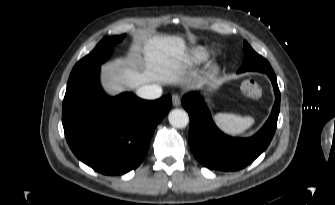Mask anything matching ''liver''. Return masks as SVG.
Returning a JSON list of instances; mask_svg holds the SVG:
<instances>
[{"instance_id":"liver-1","label":"liver","mask_w":335,"mask_h":205,"mask_svg":"<svg viewBox=\"0 0 335 205\" xmlns=\"http://www.w3.org/2000/svg\"><path fill=\"white\" fill-rule=\"evenodd\" d=\"M187 47L180 36H144L133 48L129 62L103 67L104 88L110 94L137 89L153 82L178 84L187 73Z\"/></svg>"}]
</instances>
